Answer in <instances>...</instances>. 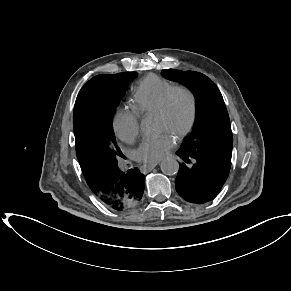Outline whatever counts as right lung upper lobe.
Instances as JSON below:
<instances>
[{"label":"right lung upper lobe","instance_id":"right-lung-upper-lobe-1","mask_svg":"<svg viewBox=\"0 0 291 291\" xmlns=\"http://www.w3.org/2000/svg\"><path fill=\"white\" fill-rule=\"evenodd\" d=\"M77 158L90 189L96 195L103 193V185L96 179V170L99 164L81 154H77Z\"/></svg>","mask_w":291,"mask_h":291}]
</instances>
